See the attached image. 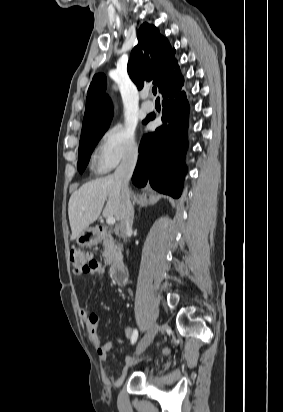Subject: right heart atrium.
Listing matches in <instances>:
<instances>
[{"mask_svg":"<svg viewBox=\"0 0 283 412\" xmlns=\"http://www.w3.org/2000/svg\"><path fill=\"white\" fill-rule=\"evenodd\" d=\"M138 151L139 144L134 129L115 125L105 131L101 137L96 166L100 171H110L122 161L136 157Z\"/></svg>","mask_w":283,"mask_h":412,"instance_id":"d8ad5b80","label":"right heart atrium"}]
</instances>
